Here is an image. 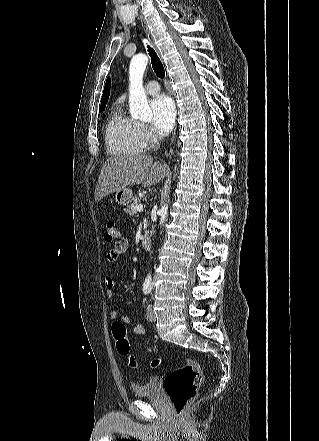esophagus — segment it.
Here are the masks:
<instances>
[{"mask_svg": "<svg viewBox=\"0 0 319 441\" xmlns=\"http://www.w3.org/2000/svg\"><path fill=\"white\" fill-rule=\"evenodd\" d=\"M140 19H141L142 27H143V29H144V31H145V33H146V36H147L148 41L150 42V44L152 45V47H153V48L156 50V52L158 53L157 48H156V45H155V42H154V39H153V36H152V34H151V32H150L149 27L147 26L145 20H144L142 17H140ZM175 130H176V129H175ZM175 135H176V132L174 131L173 137H172V139H171V143H174V141H175Z\"/></svg>", "mask_w": 319, "mask_h": 441, "instance_id": "esophagus-1", "label": "esophagus"}]
</instances>
